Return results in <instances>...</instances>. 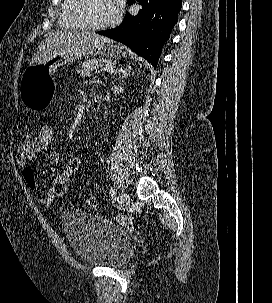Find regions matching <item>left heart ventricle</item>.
<instances>
[{
  "label": "left heart ventricle",
  "mask_w": 272,
  "mask_h": 303,
  "mask_svg": "<svg viewBox=\"0 0 272 303\" xmlns=\"http://www.w3.org/2000/svg\"><path fill=\"white\" fill-rule=\"evenodd\" d=\"M85 14L94 24H102L114 18L111 0H87Z\"/></svg>",
  "instance_id": "1"
}]
</instances>
